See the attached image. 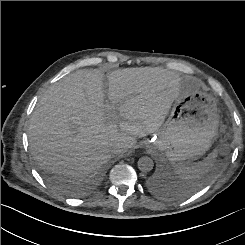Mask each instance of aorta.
Listing matches in <instances>:
<instances>
[{"mask_svg":"<svg viewBox=\"0 0 245 245\" xmlns=\"http://www.w3.org/2000/svg\"><path fill=\"white\" fill-rule=\"evenodd\" d=\"M137 165H138V169L141 172L146 173L153 169L154 163L150 157L143 156L139 158Z\"/></svg>","mask_w":245,"mask_h":245,"instance_id":"aorta-1","label":"aorta"}]
</instances>
